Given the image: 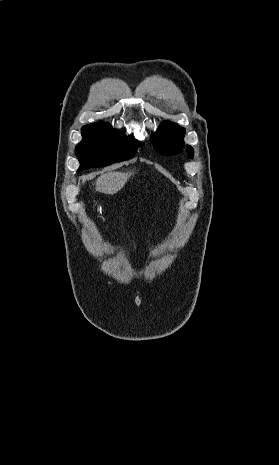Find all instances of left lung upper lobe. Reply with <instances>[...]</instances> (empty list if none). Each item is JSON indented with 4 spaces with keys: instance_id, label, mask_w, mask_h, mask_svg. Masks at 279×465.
Segmentation results:
<instances>
[{
    "instance_id": "1",
    "label": "left lung upper lobe",
    "mask_w": 279,
    "mask_h": 465,
    "mask_svg": "<svg viewBox=\"0 0 279 465\" xmlns=\"http://www.w3.org/2000/svg\"><path fill=\"white\" fill-rule=\"evenodd\" d=\"M185 129L175 123L163 122L158 131L151 137V142L154 148L166 155L180 153L184 147L183 137ZM187 153L189 157L193 158L194 150L192 147L187 146Z\"/></svg>"
}]
</instances>
